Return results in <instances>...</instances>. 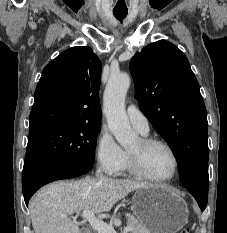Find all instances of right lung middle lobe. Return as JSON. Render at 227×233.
Returning <instances> with one entry per match:
<instances>
[{"mask_svg": "<svg viewBox=\"0 0 227 233\" xmlns=\"http://www.w3.org/2000/svg\"><path fill=\"white\" fill-rule=\"evenodd\" d=\"M100 122L58 125L29 134L22 175L47 164L93 166Z\"/></svg>", "mask_w": 227, "mask_h": 233, "instance_id": "1", "label": "right lung middle lobe"}]
</instances>
